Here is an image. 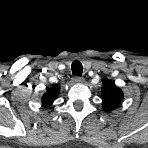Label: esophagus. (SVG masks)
Returning a JSON list of instances; mask_svg holds the SVG:
<instances>
[{"label": "esophagus", "instance_id": "34e87169", "mask_svg": "<svg viewBox=\"0 0 148 148\" xmlns=\"http://www.w3.org/2000/svg\"><path fill=\"white\" fill-rule=\"evenodd\" d=\"M72 80H73L74 83H82V82H84V78L83 77H79V76L73 77Z\"/></svg>", "mask_w": 148, "mask_h": 148}]
</instances>
